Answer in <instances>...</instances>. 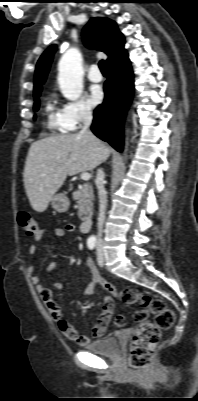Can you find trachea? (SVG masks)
Instances as JSON below:
<instances>
[{"instance_id": "obj_1", "label": "trachea", "mask_w": 198, "mask_h": 401, "mask_svg": "<svg viewBox=\"0 0 198 401\" xmlns=\"http://www.w3.org/2000/svg\"><path fill=\"white\" fill-rule=\"evenodd\" d=\"M99 68H100L102 73H107V67H106V63H105L104 60H100Z\"/></svg>"}]
</instances>
